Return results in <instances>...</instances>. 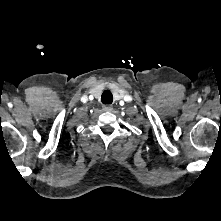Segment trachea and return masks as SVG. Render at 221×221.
I'll return each instance as SVG.
<instances>
[{
  "instance_id": "3493384b",
  "label": "trachea",
  "mask_w": 221,
  "mask_h": 221,
  "mask_svg": "<svg viewBox=\"0 0 221 221\" xmlns=\"http://www.w3.org/2000/svg\"><path fill=\"white\" fill-rule=\"evenodd\" d=\"M101 100L103 104H111L113 101V95L109 90H105L102 93Z\"/></svg>"
}]
</instances>
